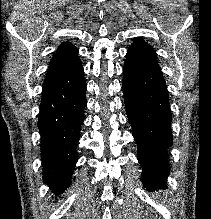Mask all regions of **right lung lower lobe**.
Segmentation results:
<instances>
[{
    "instance_id": "98d812e1",
    "label": "right lung lower lobe",
    "mask_w": 211,
    "mask_h": 219,
    "mask_svg": "<svg viewBox=\"0 0 211 219\" xmlns=\"http://www.w3.org/2000/svg\"><path fill=\"white\" fill-rule=\"evenodd\" d=\"M83 72L77 59L47 78L43 85L38 117L43 181L55 195L70 185L78 159L76 144L86 106Z\"/></svg>"
}]
</instances>
